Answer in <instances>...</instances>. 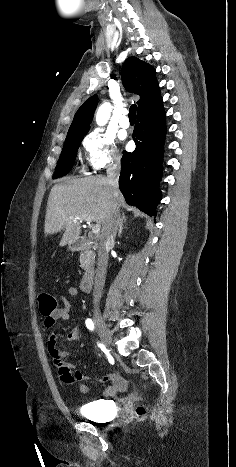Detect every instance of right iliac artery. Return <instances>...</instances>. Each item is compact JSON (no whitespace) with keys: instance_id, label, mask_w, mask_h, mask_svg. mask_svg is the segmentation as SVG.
<instances>
[{"instance_id":"obj_1","label":"right iliac artery","mask_w":236,"mask_h":467,"mask_svg":"<svg viewBox=\"0 0 236 467\" xmlns=\"http://www.w3.org/2000/svg\"><path fill=\"white\" fill-rule=\"evenodd\" d=\"M85 324H86V327H87L89 330H91V331L94 330V323H93L92 319H89V318H88V319L85 321ZM98 346L100 347L101 344L98 343Z\"/></svg>"}]
</instances>
